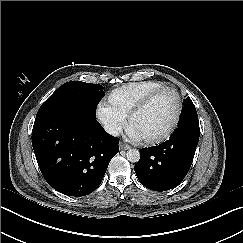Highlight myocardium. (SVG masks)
Returning <instances> with one entry per match:
<instances>
[{
  "label": "myocardium",
  "mask_w": 243,
  "mask_h": 243,
  "mask_svg": "<svg viewBox=\"0 0 243 243\" xmlns=\"http://www.w3.org/2000/svg\"><path fill=\"white\" fill-rule=\"evenodd\" d=\"M165 93H173L176 96V107L174 114L172 116V119L170 120L169 124L166 126V128L158 135L156 136H146L142 134V137L144 140L148 143H157L160 141H163L166 139L170 133L174 130V128L177 126L179 119L181 117L182 112V98L180 93L177 89L173 87H165L163 89H160L153 94L147 96L145 99H143L141 102L137 104V106L132 110V112L129 115L128 122L131 127H134V121L138 117V115L141 113V111L145 108V106L150 103L155 98L165 94Z\"/></svg>",
  "instance_id": "obj_1"
}]
</instances>
